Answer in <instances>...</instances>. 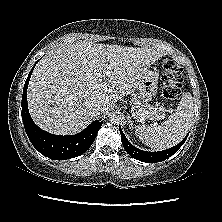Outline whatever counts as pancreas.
<instances>
[{
  "mask_svg": "<svg viewBox=\"0 0 222 222\" xmlns=\"http://www.w3.org/2000/svg\"><path fill=\"white\" fill-rule=\"evenodd\" d=\"M132 104L134 105V108L141 114H144L143 116L147 118H155L157 119V116H165L164 110L151 106L147 103H142L137 98H132Z\"/></svg>",
  "mask_w": 222,
  "mask_h": 222,
  "instance_id": "1",
  "label": "pancreas"
}]
</instances>
